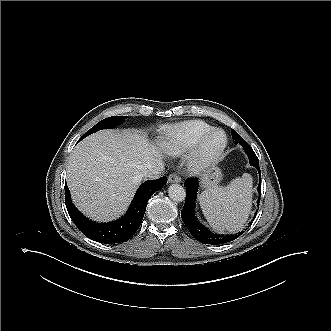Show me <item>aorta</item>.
Segmentation results:
<instances>
[{"instance_id": "762f6f07", "label": "aorta", "mask_w": 331, "mask_h": 331, "mask_svg": "<svg viewBox=\"0 0 331 331\" xmlns=\"http://www.w3.org/2000/svg\"><path fill=\"white\" fill-rule=\"evenodd\" d=\"M169 197L176 202H182L186 198V191L180 184H172L168 188Z\"/></svg>"}]
</instances>
